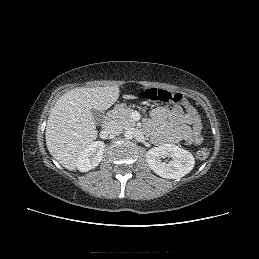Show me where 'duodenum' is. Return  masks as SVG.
<instances>
[{
  "label": "duodenum",
  "mask_w": 259,
  "mask_h": 259,
  "mask_svg": "<svg viewBox=\"0 0 259 259\" xmlns=\"http://www.w3.org/2000/svg\"><path fill=\"white\" fill-rule=\"evenodd\" d=\"M113 121V112H109L107 116L105 117L102 126L104 129L109 128Z\"/></svg>",
  "instance_id": "410a0bca"
}]
</instances>
